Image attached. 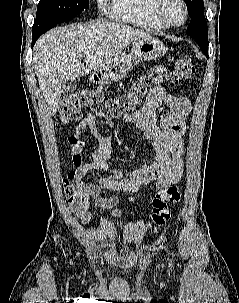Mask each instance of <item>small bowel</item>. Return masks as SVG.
<instances>
[{"label":"small bowel","instance_id":"1","mask_svg":"<svg viewBox=\"0 0 239 303\" xmlns=\"http://www.w3.org/2000/svg\"><path fill=\"white\" fill-rule=\"evenodd\" d=\"M154 72H157L158 76L154 79V85L149 91L143 110L125 119L128 122L136 123L144 133L145 139L151 144L154 154L151 162L141 164L126 172L119 171L110 162L114 139L111 136L99 134L97 119L93 114H87L68 138L75 173L78 177L81 179L91 171L103 173L96 183L84 185L76 193L70 206L73 214L84 221L90 220L94 216L89 209L90 198L95 200L97 206L111 209L112 217L120 216V211L115 208L119 202L118 196H101V190L104 188L125 192L133 201L135 199L133 194L144 184L153 182L152 188L158 192L169 186L177 185L182 179L184 127L181 116L189 110V104L186 100L170 94L162 85L164 67L151 70L149 73ZM164 103L169 105L170 112L161 128L155 112ZM106 124L113 127L111 122H106ZM87 133H91L96 140L97 149L88 155L87 160H83L82 153L87 144L85 138Z\"/></svg>","mask_w":239,"mask_h":303}]
</instances>
